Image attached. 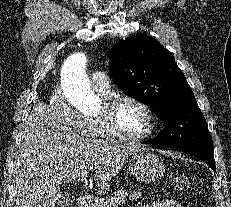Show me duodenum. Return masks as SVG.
<instances>
[{
	"label": "duodenum",
	"instance_id": "obj_1",
	"mask_svg": "<svg viewBox=\"0 0 231 207\" xmlns=\"http://www.w3.org/2000/svg\"><path fill=\"white\" fill-rule=\"evenodd\" d=\"M94 196L92 194H85L78 200V207H92Z\"/></svg>",
	"mask_w": 231,
	"mask_h": 207
}]
</instances>
